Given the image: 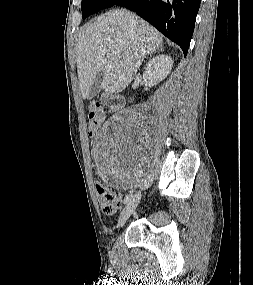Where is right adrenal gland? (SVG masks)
<instances>
[{"label":"right adrenal gland","mask_w":253,"mask_h":285,"mask_svg":"<svg viewBox=\"0 0 253 285\" xmlns=\"http://www.w3.org/2000/svg\"><path fill=\"white\" fill-rule=\"evenodd\" d=\"M158 51H161V52H162V51H163V48L160 47V48H158L156 51L147 54V56H148V55H152L153 53H156V52H158Z\"/></svg>","instance_id":"right-adrenal-gland-1"}]
</instances>
